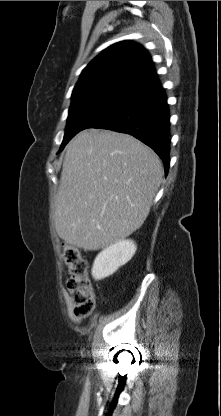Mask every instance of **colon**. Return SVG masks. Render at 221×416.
Masks as SVG:
<instances>
[{"label":"colon","instance_id":"obj_1","mask_svg":"<svg viewBox=\"0 0 221 416\" xmlns=\"http://www.w3.org/2000/svg\"><path fill=\"white\" fill-rule=\"evenodd\" d=\"M61 255L68 267L67 291L73 314L77 317L90 315L95 305V294L89 276V262L80 250L63 244Z\"/></svg>","mask_w":221,"mask_h":416}]
</instances>
